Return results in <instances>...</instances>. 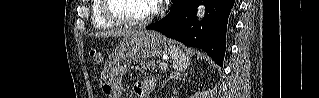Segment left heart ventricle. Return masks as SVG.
<instances>
[{
  "label": "left heart ventricle",
  "instance_id": "b2bd125f",
  "mask_svg": "<svg viewBox=\"0 0 319 98\" xmlns=\"http://www.w3.org/2000/svg\"><path fill=\"white\" fill-rule=\"evenodd\" d=\"M153 3L150 0H112L110 11L123 19L140 20L152 11Z\"/></svg>",
  "mask_w": 319,
  "mask_h": 98
}]
</instances>
